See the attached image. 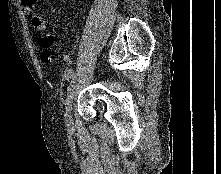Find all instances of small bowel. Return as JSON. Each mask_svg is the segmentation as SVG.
<instances>
[{
  "instance_id": "obj_1",
  "label": "small bowel",
  "mask_w": 221,
  "mask_h": 174,
  "mask_svg": "<svg viewBox=\"0 0 221 174\" xmlns=\"http://www.w3.org/2000/svg\"><path fill=\"white\" fill-rule=\"evenodd\" d=\"M25 12L29 16L33 27L38 32H43L46 28L45 21L37 13V0H23ZM40 44L43 48L41 59L45 63H50L53 59L51 48L54 44V36L51 34H43L40 38ZM63 61L71 62V56L67 52L62 54Z\"/></svg>"
}]
</instances>
